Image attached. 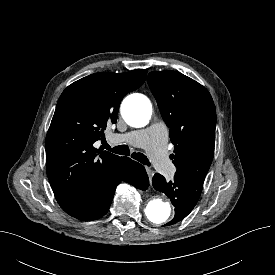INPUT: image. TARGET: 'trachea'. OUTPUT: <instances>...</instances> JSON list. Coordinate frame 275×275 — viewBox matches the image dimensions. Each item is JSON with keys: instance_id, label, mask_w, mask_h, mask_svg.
I'll return each mask as SVG.
<instances>
[{"instance_id": "obj_1", "label": "trachea", "mask_w": 275, "mask_h": 275, "mask_svg": "<svg viewBox=\"0 0 275 275\" xmlns=\"http://www.w3.org/2000/svg\"><path fill=\"white\" fill-rule=\"evenodd\" d=\"M104 148L115 153V154L127 155V156L130 155V150L127 145H119V146H115V147L111 148L108 144H105ZM131 157L144 165L150 166V162H149L148 158L142 153L134 152L131 154Z\"/></svg>"}]
</instances>
